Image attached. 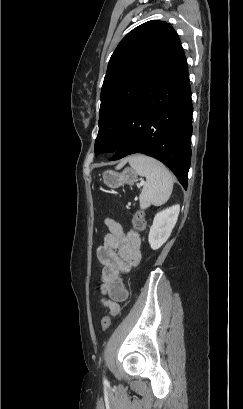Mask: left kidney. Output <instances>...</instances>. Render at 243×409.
<instances>
[{
	"label": "left kidney",
	"mask_w": 243,
	"mask_h": 409,
	"mask_svg": "<svg viewBox=\"0 0 243 409\" xmlns=\"http://www.w3.org/2000/svg\"><path fill=\"white\" fill-rule=\"evenodd\" d=\"M179 212L180 206L174 205L155 215L148 236L150 247L153 250L159 249L168 240L177 222Z\"/></svg>",
	"instance_id": "1"
}]
</instances>
